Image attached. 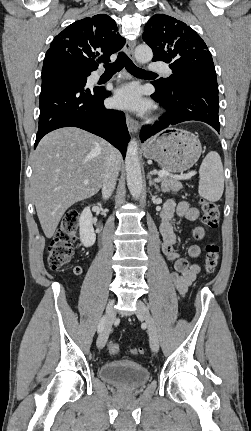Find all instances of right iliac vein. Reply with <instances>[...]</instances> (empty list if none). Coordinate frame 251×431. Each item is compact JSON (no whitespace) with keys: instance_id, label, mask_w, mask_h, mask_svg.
<instances>
[{"instance_id":"63e3f726","label":"right iliac vein","mask_w":251,"mask_h":431,"mask_svg":"<svg viewBox=\"0 0 251 431\" xmlns=\"http://www.w3.org/2000/svg\"><path fill=\"white\" fill-rule=\"evenodd\" d=\"M106 322L97 339V347L102 349L108 339L111 326L115 319L114 300L109 301L106 307Z\"/></svg>"}]
</instances>
